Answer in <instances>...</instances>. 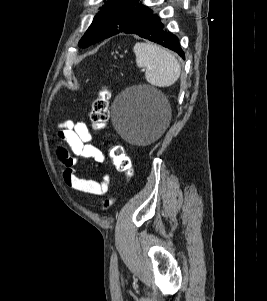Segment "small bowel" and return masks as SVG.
I'll use <instances>...</instances> for the list:
<instances>
[{
	"label": "small bowel",
	"instance_id": "obj_1",
	"mask_svg": "<svg viewBox=\"0 0 267 301\" xmlns=\"http://www.w3.org/2000/svg\"><path fill=\"white\" fill-rule=\"evenodd\" d=\"M58 137L70 148V156L64 148L56 153L62 164L61 175L71 189L92 195H103L110 187V176L103 174L100 181L82 177L77 174L76 166L80 159H91L96 166L105 162V154L93 143V135L86 123L66 119L59 124Z\"/></svg>",
	"mask_w": 267,
	"mask_h": 301
}]
</instances>
